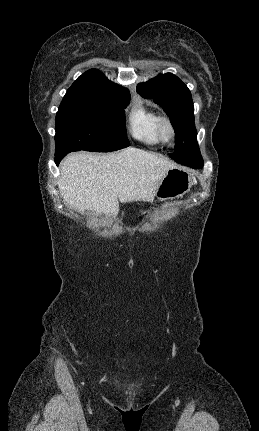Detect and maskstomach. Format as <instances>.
<instances>
[{"instance_id":"obj_1","label":"stomach","mask_w":259,"mask_h":431,"mask_svg":"<svg viewBox=\"0 0 259 431\" xmlns=\"http://www.w3.org/2000/svg\"><path fill=\"white\" fill-rule=\"evenodd\" d=\"M193 182V176L187 170L180 167L172 168L167 171L161 180L155 196L159 200L182 197L190 191Z\"/></svg>"}]
</instances>
